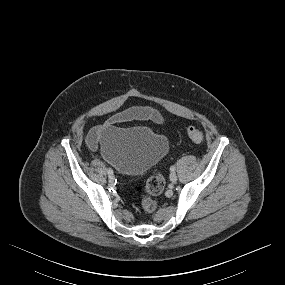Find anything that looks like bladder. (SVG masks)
<instances>
[{"mask_svg": "<svg viewBox=\"0 0 285 285\" xmlns=\"http://www.w3.org/2000/svg\"><path fill=\"white\" fill-rule=\"evenodd\" d=\"M101 152L104 159L127 174H140L159 162L168 151L167 139L149 127H101Z\"/></svg>", "mask_w": 285, "mask_h": 285, "instance_id": "obj_1", "label": "bladder"}]
</instances>
